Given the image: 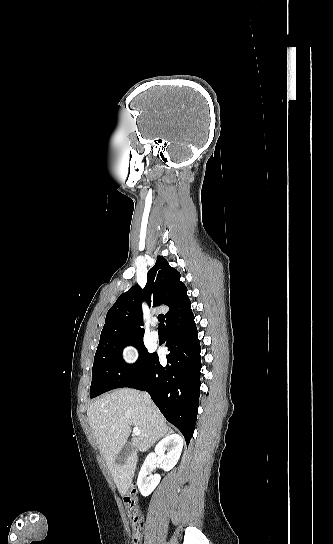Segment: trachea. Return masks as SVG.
Returning a JSON list of instances; mask_svg holds the SVG:
<instances>
[{"label": "trachea", "mask_w": 333, "mask_h": 544, "mask_svg": "<svg viewBox=\"0 0 333 544\" xmlns=\"http://www.w3.org/2000/svg\"><path fill=\"white\" fill-rule=\"evenodd\" d=\"M158 321L160 322L159 323V326H158V329L159 330H165V316L163 314H160L158 315Z\"/></svg>", "instance_id": "3493384b"}]
</instances>
